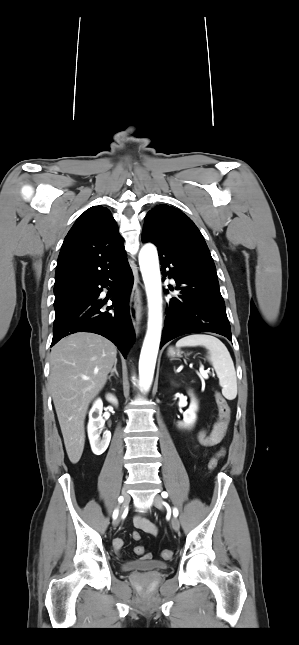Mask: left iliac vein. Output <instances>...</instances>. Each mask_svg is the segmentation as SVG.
<instances>
[{"label": "left iliac vein", "instance_id": "left-iliac-vein-1", "mask_svg": "<svg viewBox=\"0 0 299 645\" xmlns=\"http://www.w3.org/2000/svg\"><path fill=\"white\" fill-rule=\"evenodd\" d=\"M153 504H154V506H155L156 508H158V509H160V510H163V509H164V506H163V499H162V497H161L160 495H156V496L154 497ZM171 525H172V528H173L175 531H179V529H180V523H179V520H178V518H177L176 516H173V517H172V519H171Z\"/></svg>", "mask_w": 299, "mask_h": 645}]
</instances>
